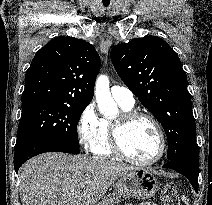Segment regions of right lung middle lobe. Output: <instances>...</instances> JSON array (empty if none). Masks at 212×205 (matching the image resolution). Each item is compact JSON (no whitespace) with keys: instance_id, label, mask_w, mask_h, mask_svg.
<instances>
[{"instance_id":"right-lung-middle-lobe-1","label":"right lung middle lobe","mask_w":212,"mask_h":205,"mask_svg":"<svg viewBox=\"0 0 212 205\" xmlns=\"http://www.w3.org/2000/svg\"><path fill=\"white\" fill-rule=\"evenodd\" d=\"M21 122L15 148L28 142L52 139L79 146L77 124L88 105L50 100L22 102Z\"/></svg>"}]
</instances>
